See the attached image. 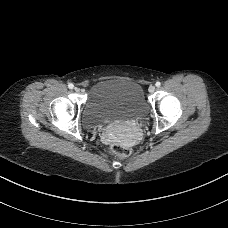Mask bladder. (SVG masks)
I'll use <instances>...</instances> for the list:
<instances>
[{
  "mask_svg": "<svg viewBox=\"0 0 228 228\" xmlns=\"http://www.w3.org/2000/svg\"><path fill=\"white\" fill-rule=\"evenodd\" d=\"M147 112L148 101L138 82L108 79L91 87L83 106L82 122L92 129L114 121L138 119Z\"/></svg>",
  "mask_w": 228,
  "mask_h": 228,
  "instance_id": "obj_1",
  "label": "bladder"
}]
</instances>
